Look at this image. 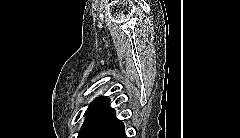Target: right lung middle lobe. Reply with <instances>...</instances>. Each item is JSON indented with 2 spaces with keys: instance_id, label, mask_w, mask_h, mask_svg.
I'll return each mask as SVG.
<instances>
[{
  "instance_id": "1",
  "label": "right lung middle lobe",
  "mask_w": 240,
  "mask_h": 138,
  "mask_svg": "<svg viewBox=\"0 0 240 138\" xmlns=\"http://www.w3.org/2000/svg\"><path fill=\"white\" fill-rule=\"evenodd\" d=\"M108 117L107 115H86L84 124L79 131L78 138H87L88 135Z\"/></svg>"
}]
</instances>
